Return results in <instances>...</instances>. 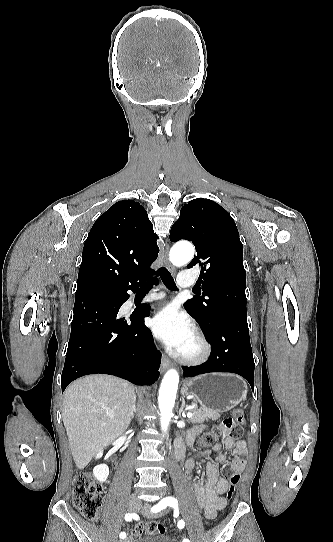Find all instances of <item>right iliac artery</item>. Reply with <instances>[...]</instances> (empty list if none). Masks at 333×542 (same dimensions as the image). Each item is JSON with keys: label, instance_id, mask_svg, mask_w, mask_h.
<instances>
[{"label": "right iliac artery", "instance_id": "82829eb1", "mask_svg": "<svg viewBox=\"0 0 333 542\" xmlns=\"http://www.w3.org/2000/svg\"><path fill=\"white\" fill-rule=\"evenodd\" d=\"M131 519H132V514H126L125 515V520L126 521H130ZM119 536H120L121 539H124L126 537V533L121 532Z\"/></svg>", "mask_w": 333, "mask_h": 542}]
</instances>
